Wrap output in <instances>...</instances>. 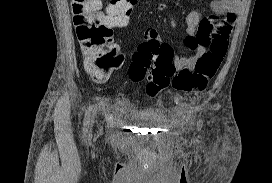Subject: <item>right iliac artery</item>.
<instances>
[{
  "label": "right iliac artery",
  "instance_id": "82829eb1",
  "mask_svg": "<svg viewBox=\"0 0 272 183\" xmlns=\"http://www.w3.org/2000/svg\"><path fill=\"white\" fill-rule=\"evenodd\" d=\"M90 111H91V108H89L86 112V116H85V119H84V125L87 126L90 122Z\"/></svg>",
  "mask_w": 272,
  "mask_h": 183
}]
</instances>
